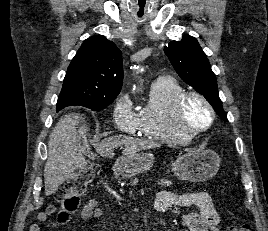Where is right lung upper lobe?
I'll return each instance as SVG.
<instances>
[{
  "label": "right lung upper lobe",
  "instance_id": "cb5924a9",
  "mask_svg": "<svg viewBox=\"0 0 268 231\" xmlns=\"http://www.w3.org/2000/svg\"><path fill=\"white\" fill-rule=\"evenodd\" d=\"M123 80L122 54L102 35L86 39L72 59L58 103H96L115 99Z\"/></svg>",
  "mask_w": 268,
  "mask_h": 231
}]
</instances>
